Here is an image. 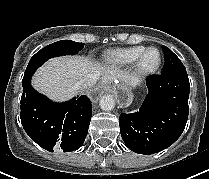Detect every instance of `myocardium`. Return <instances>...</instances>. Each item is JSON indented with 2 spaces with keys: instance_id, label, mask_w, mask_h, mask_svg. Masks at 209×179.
Wrapping results in <instances>:
<instances>
[{
  "instance_id": "f54148a6",
  "label": "myocardium",
  "mask_w": 209,
  "mask_h": 179,
  "mask_svg": "<svg viewBox=\"0 0 209 179\" xmlns=\"http://www.w3.org/2000/svg\"><path fill=\"white\" fill-rule=\"evenodd\" d=\"M151 50H155L158 53V62L150 68H146L143 65V59L145 57V55L151 51ZM162 64V53L161 51L156 48V47H146L136 58L135 62H134V71L136 73L137 76L144 78V77H148L153 75L154 73H156L159 68L161 67Z\"/></svg>"
}]
</instances>
